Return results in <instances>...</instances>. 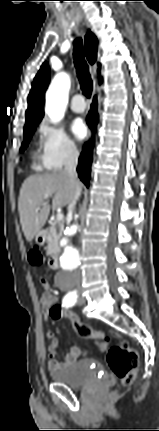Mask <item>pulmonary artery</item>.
Segmentation results:
<instances>
[{
	"mask_svg": "<svg viewBox=\"0 0 159 431\" xmlns=\"http://www.w3.org/2000/svg\"><path fill=\"white\" fill-rule=\"evenodd\" d=\"M71 109L76 113H82L86 108V103L81 94H75L71 100Z\"/></svg>",
	"mask_w": 159,
	"mask_h": 431,
	"instance_id": "e3ab8cb5",
	"label": "pulmonary artery"
}]
</instances>
